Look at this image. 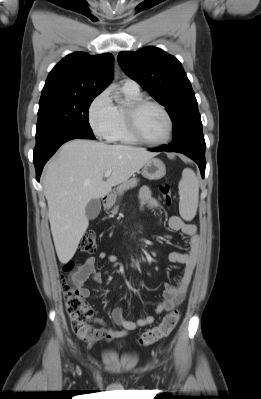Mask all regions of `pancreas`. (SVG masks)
<instances>
[{
	"mask_svg": "<svg viewBox=\"0 0 261 399\" xmlns=\"http://www.w3.org/2000/svg\"><path fill=\"white\" fill-rule=\"evenodd\" d=\"M138 181H139V180H138L137 178H132V179H129L128 181L122 183V184L117 188L118 194H119V195H122V194L124 193V191L129 190L130 188H133V187L137 186ZM118 209H119L118 206L114 207L113 212H114V213H117V212H118Z\"/></svg>",
	"mask_w": 261,
	"mask_h": 399,
	"instance_id": "obj_1",
	"label": "pancreas"
}]
</instances>
